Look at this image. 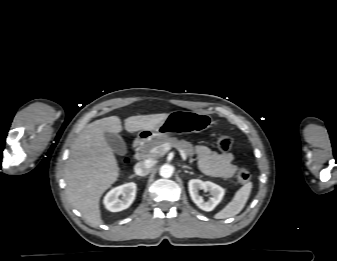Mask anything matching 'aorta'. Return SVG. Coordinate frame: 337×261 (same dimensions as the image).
Masks as SVG:
<instances>
[{
    "label": "aorta",
    "mask_w": 337,
    "mask_h": 261,
    "mask_svg": "<svg viewBox=\"0 0 337 261\" xmlns=\"http://www.w3.org/2000/svg\"><path fill=\"white\" fill-rule=\"evenodd\" d=\"M159 173L162 177L169 178L173 174V167L171 165L165 164L161 166Z\"/></svg>",
    "instance_id": "1"
}]
</instances>
